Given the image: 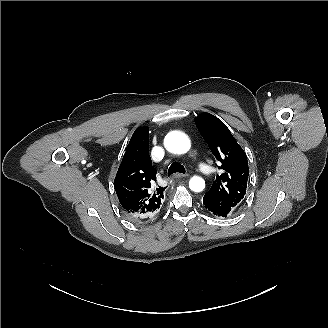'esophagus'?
Segmentation results:
<instances>
[{"label": "esophagus", "mask_w": 328, "mask_h": 328, "mask_svg": "<svg viewBox=\"0 0 328 328\" xmlns=\"http://www.w3.org/2000/svg\"><path fill=\"white\" fill-rule=\"evenodd\" d=\"M188 174H180V173H175L172 175V178H182V177H187Z\"/></svg>", "instance_id": "esophagus-1"}]
</instances>
